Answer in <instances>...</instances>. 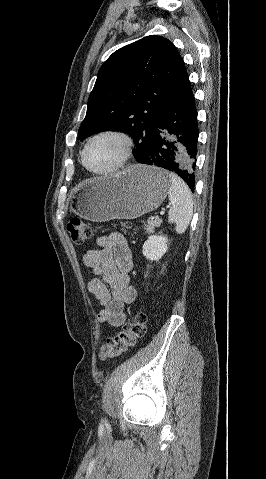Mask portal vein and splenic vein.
<instances>
[{"instance_id": "obj_1", "label": "portal vein and splenic vein", "mask_w": 266, "mask_h": 479, "mask_svg": "<svg viewBox=\"0 0 266 479\" xmlns=\"http://www.w3.org/2000/svg\"><path fill=\"white\" fill-rule=\"evenodd\" d=\"M164 214H165V212H164V211H161V212H160V215H161V216H163Z\"/></svg>"}]
</instances>
